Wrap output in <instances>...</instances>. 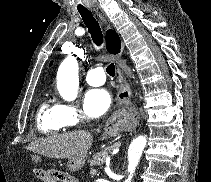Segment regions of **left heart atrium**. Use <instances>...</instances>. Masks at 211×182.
<instances>
[{
    "mask_svg": "<svg viewBox=\"0 0 211 182\" xmlns=\"http://www.w3.org/2000/svg\"><path fill=\"white\" fill-rule=\"evenodd\" d=\"M111 105V97L104 89L89 90L84 98L86 113L93 118L102 116Z\"/></svg>",
    "mask_w": 211,
    "mask_h": 182,
    "instance_id": "1",
    "label": "left heart atrium"
}]
</instances>
